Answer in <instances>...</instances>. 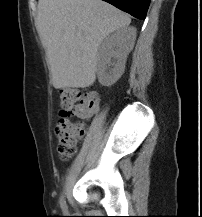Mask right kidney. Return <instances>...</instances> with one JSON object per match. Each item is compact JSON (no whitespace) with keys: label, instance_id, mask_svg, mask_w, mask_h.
Here are the masks:
<instances>
[{"label":"right kidney","instance_id":"obj_1","mask_svg":"<svg viewBox=\"0 0 202 217\" xmlns=\"http://www.w3.org/2000/svg\"><path fill=\"white\" fill-rule=\"evenodd\" d=\"M135 40V27L120 28L104 39L97 57V76L100 84L109 87L122 76L127 55L133 49Z\"/></svg>","mask_w":202,"mask_h":217}]
</instances>
